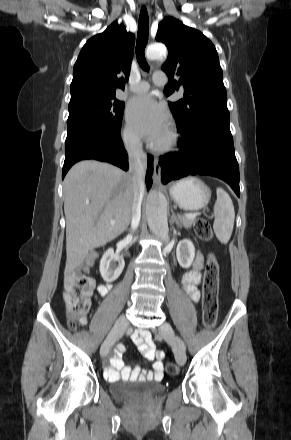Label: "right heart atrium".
I'll list each match as a JSON object with an SVG mask.
<instances>
[{
  "label": "right heart atrium",
  "mask_w": 291,
  "mask_h": 440,
  "mask_svg": "<svg viewBox=\"0 0 291 440\" xmlns=\"http://www.w3.org/2000/svg\"><path fill=\"white\" fill-rule=\"evenodd\" d=\"M122 140L127 148L134 147L138 144V139L130 127L125 126L122 131Z\"/></svg>",
  "instance_id": "1"
}]
</instances>
